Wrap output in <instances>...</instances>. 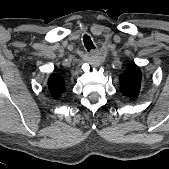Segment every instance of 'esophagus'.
I'll return each mask as SVG.
<instances>
[{
    "label": "esophagus",
    "mask_w": 169,
    "mask_h": 169,
    "mask_svg": "<svg viewBox=\"0 0 169 169\" xmlns=\"http://www.w3.org/2000/svg\"><path fill=\"white\" fill-rule=\"evenodd\" d=\"M91 52H94V53H95L96 51H95L94 49H92V51H91Z\"/></svg>",
    "instance_id": "1"
}]
</instances>
